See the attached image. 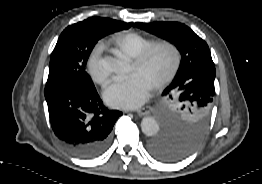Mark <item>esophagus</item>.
<instances>
[{
    "instance_id": "34e87169",
    "label": "esophagus",
    "mask_w": 262,
    "mask_h": 184,
    "mask_svg": "<svg viewBox=\"0 0 262 184\" xmlns=\"http://www.w3.org/2000/svg\"><path fill=\"white\" fill-rule=\"evenodd\" d=\"M153 111L151 106H146L144 108L138 109L136 112L139 116L148 115Z\"/></svg>"
}]
</instances>
